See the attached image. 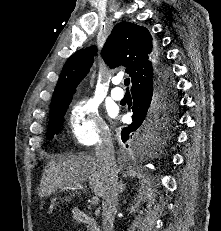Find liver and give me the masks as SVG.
Instances as JSON below:
<instances>
[{"label":"liver","instance_id":"1","mask_svg":"<svg viewBox=\"0 0 221 231\" xmlns=\"http://www.w3.org/2000/svg\"><path fill=\"white\" fill-rule=\"evenodd\" d=\"M86 182L95 195L103 197L105 178L96 158L85 153L59 154L47 163L38 194L42 198L52 195L58 189L71 190L73 193L64 199L67 205L75 197L74 191H77L71 187L82 186Z\"/></svg>","mask_w":221,"mask_h":231}]
</instances>
